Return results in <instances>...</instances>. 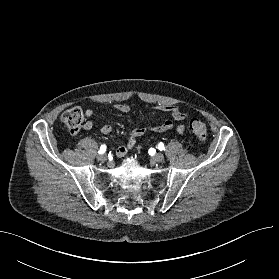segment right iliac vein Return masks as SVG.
<instances>
[{
  "label": "right iliac vein",
  "mask_w": 279,
  "mask_h": 279,
  "mask_svg": "<svg viewBox=\"0 0 279 279\" xmlns=\"http://www.w3.org/2000/svg\"><path fill=\"white\" fill-rule=\"evenodd\" d=\"M97 159H98L99 161L104 162V161L107 160V155H106V154H100V155L97 157Z\"/></svg>",
  "instance_id": "63e3f726"
}]
</instances>
